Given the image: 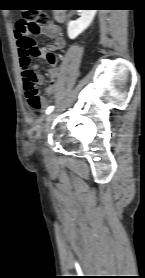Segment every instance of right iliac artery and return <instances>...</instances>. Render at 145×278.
<instances>
[{"instance_id":"82829eb1","label":"right iliac artery","mask_w":145,"mask_h":278,"mask_svg":"<svg viewBox=\"0 0 145 278\" xmlns=\"http://www.w3.org/2000/svg\"><path fill=\"white\" fill-rule=\"evenodd\" d=\"M53 109H54L53 106L48 107L47 110H46V114L51 113L53 111Z\"/></svg>"}]
</instances>
